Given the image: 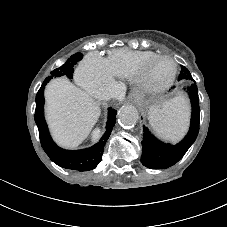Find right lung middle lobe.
Masks as SVG:
<instances>
[{
  "instance_id": "1",
  "label": "right lung middle lobe",
  "mask_w": 227,
  "mask_h": 227,
  "mask_svg": "<svg viewBox=\"0 0 227 227\" xmlns=\"http://www.w3.org/2000/svg\"><path fill=\"white\" fill-rule=\"evenodd\" d=\"M82 57L83 56L81 53H76L72 55L61 67L51 72V75L44 80L42 86H45L53 77L66 76L71 79L74 72L73 67L79 60L82 59Z\"/></svg>"
}]
</instances>
